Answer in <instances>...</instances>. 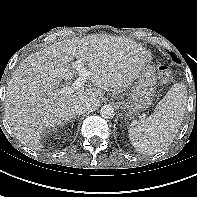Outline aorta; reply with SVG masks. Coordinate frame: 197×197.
Here are the masks:
<instances>
[{
    "label": "aorta",
    "mask_w": 197,
    "mask_h": 197,
    "mask_svg": "<svg viewBox=\"0 0 197 197\" xmlns=\"http://www.w3.org/2000/svg\"><path fill=\"white\" fill-rule=\"evenodd\" d=\"M100 115L104 119H112L115 115L114 108L111 105H104L100 109Z\"/></svg>",
    "instance_id": "aorta-1"
}]
</instances>
